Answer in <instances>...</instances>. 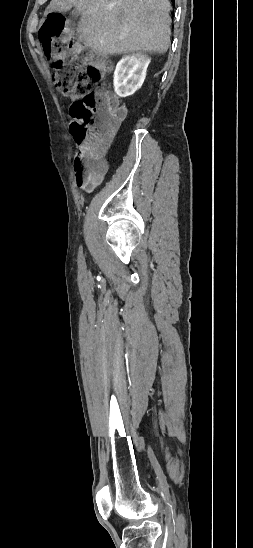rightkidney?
Masks as SVG:
<instances>
[{
	"label": "right kidney",
	"instance_id": "ca27d5eb",
	"mask_svg": "<svg viewBox=\"0 0 253 548\" xmlns=\"http://www.w3.org/2000/svg\"><path fill=\"white\" fill-rule=\"evenodd\" d=\"M151 58L142 53L124 56L114 71V90L119 97L134 94L143 84Z\"/></svg>",
	"mask_w": 253,
	"mask_h": 548
}]
</instances>
